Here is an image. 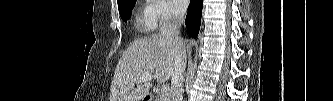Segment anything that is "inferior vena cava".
I'll return each instance as SVG.
<instances>
[{"label":"inferior vena cava","mask_w":333,"mask_h":101,"mask_svg":"<svg viewBox=\"0 0 333 101\" xmlns=\"http://www.w3.org/2000/svg\"><path fill=\"white\" fill-rule=\"evenodd\" d=\"M183 10H174L167 19L160 22V34L166 39L174 56L172 73V101H183V74L186 69V50L179 37L180 27L184 21Z\"/></svg>","instance_id":"602c4592"}]
</instances>
